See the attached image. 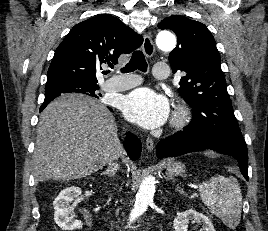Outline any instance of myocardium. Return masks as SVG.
I'll return each mask as SVG.
<instances>
[{
	"label": "myocardium",
	"instance_id": "myocardium-1",
	"mask_svg": "<svg viewBox=\"0 0 268 231\" xmlns=\"http://www.w3.org/2000/svg\"><path fill=\"white\" fill-rule=\"evenodd\" d=\"M190 119V110L185 104L176 106L170 124L173 128L179 129L186 125Z\"/></svg>",
	"mask_w": 268,
	"mask_h": 231
}]
</instances>
